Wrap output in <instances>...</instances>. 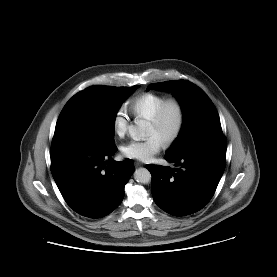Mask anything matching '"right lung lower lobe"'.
<instances>
[{
  "label": "right lung lower lobe",
  "instance_id": "obj_1",
  "mask_svg": "<svg viewBox=\"0 0 277 277\" xmlns=\"http://www.w3.org/2000/svg\"><path fill=\"white\" fill-rule=\"evenodd\" d=\"M116 151L115 145L102 148L77 138H53L51 172L63 198L78 214L101 218L121 204L134 166L130 159H111Z\"/></svg>",
  "mask_w": 277,
  "mask_h": 277
}]
</instances>
